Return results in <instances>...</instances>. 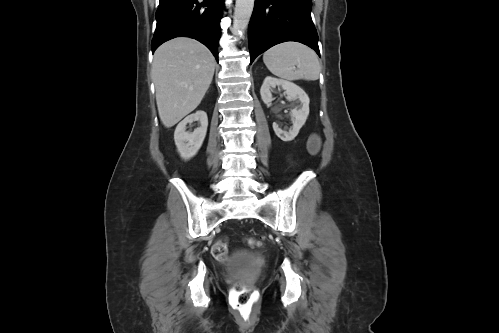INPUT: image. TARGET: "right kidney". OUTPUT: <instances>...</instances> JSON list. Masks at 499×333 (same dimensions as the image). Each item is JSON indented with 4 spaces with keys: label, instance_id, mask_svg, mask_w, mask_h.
Segmentation results:
<instances>
[{
    "label": "right kidney",
    "instance_id": "ca27d5eb",
    "mask_svg": "<svg viewBox=\"0 0 499 333\" xmlns=\"http://www.w3.org/2000/svg\"><path fill=\"white\" fill-rule=\"evenodd\" d=\"M194 121H199L200 127L195 129L193 133L186 132V125ZM207 126L208 118L204 111H197L187 116L177 125L174 140L182 159L189 160L197 154L205 139Z\"/></svg>",
    "mask_w": 499,
    "mask_h": 333
}]
</instances>
